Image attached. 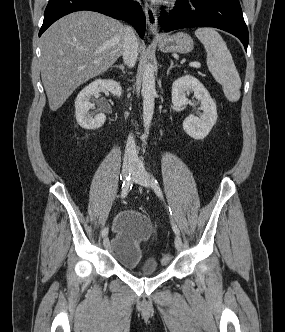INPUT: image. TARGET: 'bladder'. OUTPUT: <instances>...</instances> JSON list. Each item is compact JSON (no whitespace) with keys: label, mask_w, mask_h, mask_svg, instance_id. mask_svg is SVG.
Listing matches in <instances>:
<instances>
[{"label":"bladder","mask_w":285,"mask_h":332,"mask_svg":"<svg viewBox=\"0 0 285 332\" xmlns=\"http://www.w3.org/2000/svg\"><path fill=\"white\" fill-rule=\"evenodd\" d=\"M150 219L136 210L121 212L114 222V234L109 243L115 260L124 268L142 275H153L158 270L154 258L144 257V244L154 234Z\"/></svg>","instance_id":"obj_1"}]
</instances>
